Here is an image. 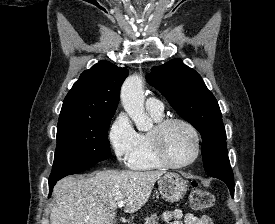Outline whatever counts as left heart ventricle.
Returning a JSON list of instances; mask_svg holds the SVG:
<instances>
[{"mask_svg":"<svg viewBox=\"0 0 275 224\" xmlns=\"http://www.w3.org/2000/svg\"><path fill=\"white\" fill-rule=\"evenodd\" d=\"M163 144L168 158L174 163L189 161L195 151V142L190 130L182 124H171L164 132Z\"/></svg>","mask_w":275,"mask_h":224,"instance_id":"left-heart-ventricle-1","label":"left heart ventricle"}]
</instances>
